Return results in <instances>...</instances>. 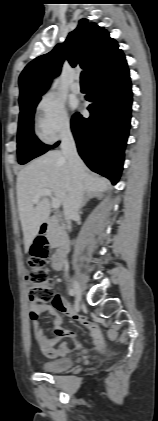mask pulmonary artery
<instances>
[{"label":"pulmonary artery","mask_w":158,"mask_h":421,"mask_svg":"<svg viewBox=\"0 0 158 421\" xmlns=\"http://www.w3.org/2000/svg\"><path fill=\"white\" fill-rule=\"evenodd\" d=\"M71 90L75 94H78V93L81 92V86H80V83L78 81V77L76 78V81L72 84Z\"/></svg>","instance_id":"1"}]
</instances>
